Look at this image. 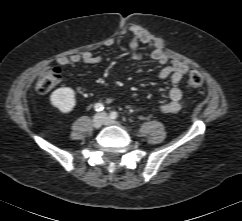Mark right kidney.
I'll list each match as a JSON object with an SVG mask.
<instances>
[{
    "instance_id": "right-kidney-1",
    "label": "right kidney",
    "mask_w": 242,
    "mask_h": 221,
    "mask_svg": "<svg viewBox=\"0 0 242 221\" xmlns=\"http://www.w3.org/2000/svg\"><path fill=\"white\" fill-rule=\"evenodd\" d=\"M50 101L62 113H69L76 105L75 92L69 87L58 88L52 92Z\"/></svg>"
}]
</instances>
